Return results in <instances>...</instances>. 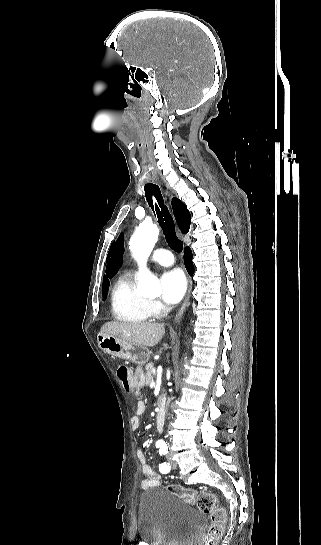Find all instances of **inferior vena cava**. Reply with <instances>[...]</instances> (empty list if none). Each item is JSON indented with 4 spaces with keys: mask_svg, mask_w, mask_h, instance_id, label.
I'll return each instance as SVG.
<instances>
[{
    "mask_svg": "<svg viewBox=\"0 0 321 545\" xmlns=\"http://www.w3.org/2000/svg\"><path fill=\"white\" fill-rule=\"evenodd\" d=\"M169 403H170V399H168V401H167V405H169Z\"/></svg>",
    "mask_w": 321,
    "mask_h": 545,
    "instance_id": "1",
    "label": "inferior vena cava"
}]
</instances>
